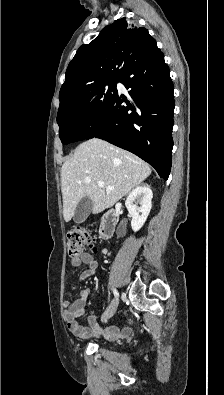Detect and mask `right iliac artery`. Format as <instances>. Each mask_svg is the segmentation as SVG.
Here are the masks:
<instances>
[{
	"label": "right iliac artery",
	"mask_w": 224,
	"mask_h": 395,
	"mask_svg": "<svg viewBox=\"0 0 224 395\" xmlns=\"http://www.w3.org/2000/svg\"><path fill=\"white\" fill-rule=\"evenodd\" d=\"M113 294H114V296H115V300H118L119 293L117 292L116 289H113ZM113 301H114V300H113ZM113 301H112V302H113Z\"/></svg>",
	"instance_id": "obj_1"
}]
</instances>
